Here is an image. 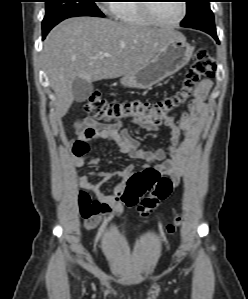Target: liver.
<instances>
[{"label": "liver", "instance_id": "6515ba94", "mask_svg": "<svg viewBox=\"0 0 248 299\" xmlns=\"http://www.w3.org/2000/svg\"><path fill=\"white\" fill-rule=\"evenodd\" d=\"M170 28L116 22L99 17L69 18L47 35L43 64L55 92V115L63 117L74 101L76 78L88 82L132 74L147 65L173 39ZM108 57H101L102 53Z\"/></svg>", "mask_w": 248, "mask_h": 299}]
</instances>
